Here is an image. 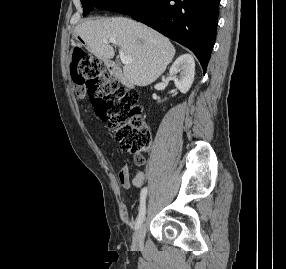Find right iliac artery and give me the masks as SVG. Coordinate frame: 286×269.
<instances>
[{"label": "right iliac artery", "mask_w": 286, "mask_h": 269, "mask_svg": "<svg viewBox=\"0 0 286 269\" xmlns=\"http://www.w3.org/2000/svg\"><path fill=\"white\" fill-rule=\"evenodd\" d=\"M146 196H147V187H144L140 193V208H139V214L137 217L135 229H138L144 221L145 213H146Z\"/></svg>", "instance_id": "right-iliac-artery-1"}]
</instances>
